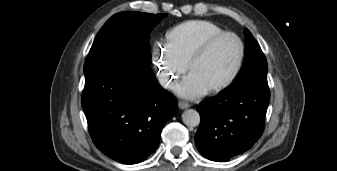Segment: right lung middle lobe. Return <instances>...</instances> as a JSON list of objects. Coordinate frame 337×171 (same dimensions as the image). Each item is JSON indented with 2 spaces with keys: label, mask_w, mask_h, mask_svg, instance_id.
Returning <instances> with one entry per match:
<instances>
[{
  "label": "right lung middle lobe",
  "mask_w": 337,
  "mask_h": 171,
  "mask_svg": "<svg viewBox=\"0 0 337 171\" xmlns=\"http://www.w3.org/2000/svg\"><path fill=\"white\" fill-rule=\"evenodd\" d=\"M167 15L121 12L98 33L84 64V73L105 64H121L140 71L151 65L150 32Z\"/></svg>",
  "instance_id": "1"
}]
</instances>
